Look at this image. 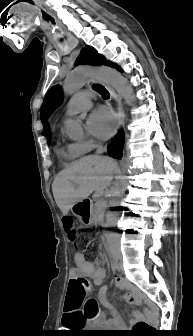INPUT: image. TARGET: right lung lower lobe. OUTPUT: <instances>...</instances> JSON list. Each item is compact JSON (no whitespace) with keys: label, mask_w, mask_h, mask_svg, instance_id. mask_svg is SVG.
Returning <instances> with one entry per match:
<instances>
[{"label":"right lung lower lobe","mask_w":193,"mask_h":336,"mask_svg":"<svg viewBox=\"0 0 193 336\" xmlns=\"http://www.w3.org/2000/svg\"><path fill=\"white\" fill-rule=\"evenodd\" d=\"M123 142H124V138L122 134L115 136L114 139L107 146V152L109 156L115 159L122 158Z\"/></svg>","instance_id":"98d812e1"}]
</instances>
